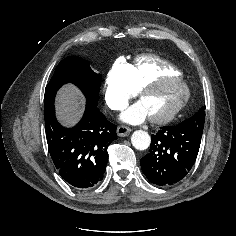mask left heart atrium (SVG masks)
<instances>
[{
  "label": "left heart atrium",
  "mask_w": 236,
  "mask_h": 236,
  "mask_svg": "<svg viewBox=\"0 0 236 236\" xmlns=\"http://www.w3.org/2000/svg\"><path fill=\"white\" fill-rule=\"evenodd\" d=\"M148 116L145 106L141 102H137L121 114V119L131 124H138L143 122Z\"/></svg>",
  "instance_id": "39dd6f15"
}]
</instances>
